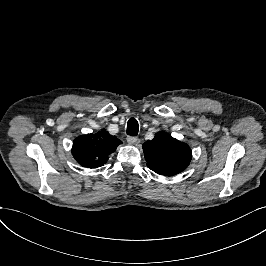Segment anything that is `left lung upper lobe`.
Here are the masks:
<instances>
[{"instance_id":"5c2ea615","label":"left lung upper lobe","mask_w":266,"mask_h":266,"mask_svg":"<svg viewBox=\"0 0 266 266\" xmlns=\"http://www.w3.org/2000/svg\"><path fill=\"white\" fill-rule=\"evenodd\" d=\"M147 166L154 172L172 176L182 172L192 157L190 147L171 137L166 132H158L151 141L143 144Z\"/></svg>"}]
</instances>
